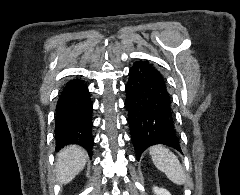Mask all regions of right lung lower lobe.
Here are the masks:
<instances>
[{
	"mask_svg": "<svg viewBox=\"0 0 240 195\" xmlns=\"http://www.w3.org/2000/svg\"><path fill=\"white\" fill-rule=\"evenodd\" d=\"M92 101L87 85L81 79L68 81L57 101L55 113L56 150L78 144L92 155Z\"/></svg>",
	"mask_w": 240,
	"mask_h": 195,
	"instance_id": "98d812e1",
	"label": "right lung lower lobe"
}]
</instances>
